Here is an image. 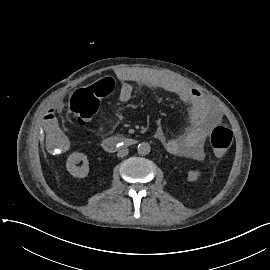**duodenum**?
Here are the masks:
<instances>
[{"label": "duodenum", "instance_id": "obj_1", "mask_svg": "<svg viewBox=\"0 0 270 270\" xmlns=\"http://www.w3.org/2000/svg\"><path fill=\"white\" fill-rule=\"evenodd\" d=\"M136 140L127 136H113L103 140L102 146L107 152H115L119 149L132 146Z\"/></svg>", "mask_w": 270, "mask_h": 270}]
</instances>
